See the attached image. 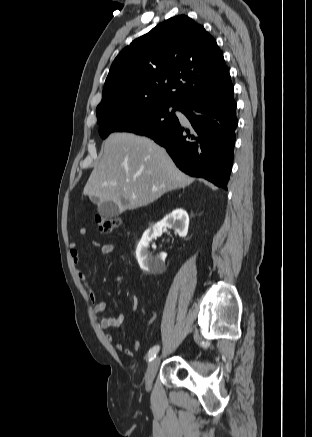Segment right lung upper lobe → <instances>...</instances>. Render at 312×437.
Listing matches in <instances>:
<instances>
[{"mask_svg":"<svg viewBox=\"0 0 312 437\" xmlns=\"http://www.w3.org/2000/svg\"><path fill=\"white\" fill-rule=\"evenodd\" d=\"M228 76L215 39L191 18L175 16L135 39L115 58L97 119L132 104L163 102L181 107Z\"/></svg>","mask_w":312,"mask_h":437,"instance_id":"cb5924a9","label":"right lung upper lobe"}]
</instances>
